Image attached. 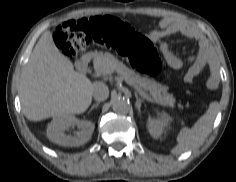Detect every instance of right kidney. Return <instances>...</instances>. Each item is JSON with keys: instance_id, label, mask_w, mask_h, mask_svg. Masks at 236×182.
I'll return each instance as SVG.
<instances>
[{"instance_id": "1", "label": "right kidney", "mask_w": 236, "mask_h": 182, "mask_svg": "<svg viewBox=\"0 0 236 182\" xmlns=\"http://www.w3.org/2000/svg\"><path fill=\"white\" fill-rule=\"evenodd\" d=\"M77 126L79 131L74 135L66 134L70 127ZM95 125L90 121L79 120L73 115L54 118L47 128L48 139L61 146L75 147L88 142L92 136Z\"/></svg>"}]
</instances>
